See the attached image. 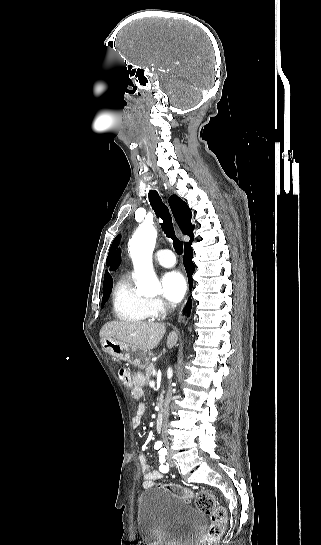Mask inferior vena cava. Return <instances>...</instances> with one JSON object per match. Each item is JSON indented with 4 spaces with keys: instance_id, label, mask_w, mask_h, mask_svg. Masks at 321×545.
Wrapping results in <instances>:
<instances>
[{
    "instance_id": "inferior-vena-cava-1",
    "label": "inferior vena cava",
    "mask_w": 321,
    "mask_h": 545,
    "mask_svg": "<svg viewBox=\"0 0 321 545\" xmlns=\"http://www.w3.org/2000/svg\"><path fill=\"white\" fill-rule=\"evenodd\" d=\"M172 309H174V307H176V305H174V303H170ZM169 383H172V381H169ZM172 387L171 385H169L168 387V391H167V395H166V401H165V411H164V415H163V423H162V431H161V439L163 441V443H168V439H167V423H168V417H169V405L171 403V399H172Z\"/></svg>"
}]
</instances>
